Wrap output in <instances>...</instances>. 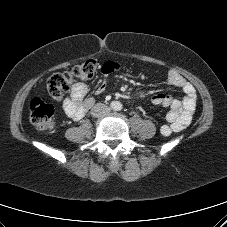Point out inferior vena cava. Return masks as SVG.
<instances>
[{
	"instance_id": "602c4592",
	"label": "inferior vena cava",
	"mask_w": 227,
	"mask_h": 227,
	"mask_svg": "<svg viewBox=\"0 0 227 227\" xmlns=\"http://www.w3.org/2000/svg\"><path fill=\"white\" fill-rule=\"evenodd\" d=\"M109 111L110 109L104 104H96L92 109V113L95 116L106 115Z\"/></svg>"
}]
</instances>
